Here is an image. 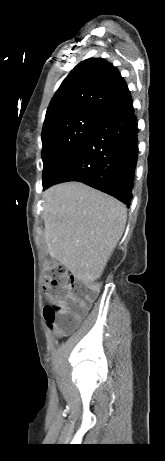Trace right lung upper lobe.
<instances>
[{
	"label": "right lung upper lobe",
	"instance_id": "right-lung-upper-lobe-1",
	"mask_svg": "<svg viewBox=\"0 0 165 461\" xmlns=\"http://www.w3.org/2000/svg\"><path fill=\"white\" fill-rule=\"evenodd\" d=\"M132 104L124 78L102 58L80 62L52 98L43 129L52 121L82 115L104 119Z\"/></svg>",
	"mask_w": 165,
	"mask_h": 461
}]
</instances>
